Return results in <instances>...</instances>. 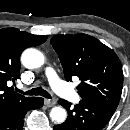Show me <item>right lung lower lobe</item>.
Returning a JSON list of instances; mask_svg holds the SVG:
<instances>
[{
    "label": "right lung lower lobe",
    "mask_w": 130,
    "mask_h": 130,
    "mask_svg": "<svg viewBox=\"0 0 130 130\" xmlns=\"http://www.w3.org/2000/svg\"><path fill=\"white\" fill-rule=\"evenodd\" d=\"M43 102V98L32 97L26 102L0 107V130H23L27 111L42 107Z\"/></svg>",
    "instance_id": "obj_1"
}]
</instances>
